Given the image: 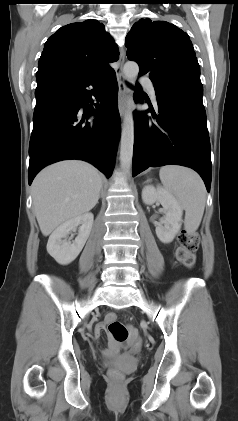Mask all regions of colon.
<instances>
[{
    "instance_id": "1",
    "label": "colon",
    "mask_w": 238,
    "mask_h": 421,
    "mask_svg": "<svg viewBox=\"0 0 238 421\" xmlns=\"http://www.w3.org/2000/svg\"><path fill=\"white\" fill-rule=\"evenodd\" d=\"M179 246L176 250V259L184 266L191 268L196 261L195 253L199 246V236L192 231H182L178 237ZM106 327L111 337L118 343L125 344L128 339V329L120 322L115 315L107 319ZM110 380L114 385H119L124 379V375L116 368L109 371Z\"/></svg>"
}]
</instances>
